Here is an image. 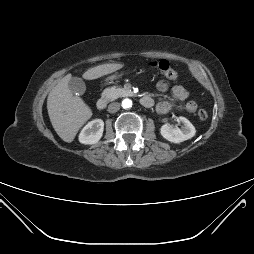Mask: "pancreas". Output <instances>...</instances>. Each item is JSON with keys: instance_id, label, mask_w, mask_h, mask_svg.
I'll return each mask as SVG.
<instances>
[{"instance_id": "obj_1", "label": "pancreas", "mask_w": 254, "mask_h": 254, "mask_svg": "<svg viewBox=\"0 0 254 254\" xmlns=\"http://www.w3.org/2000/svg\"><path fill=\"white\" fill-rule=\"evenodd\" d=\"M132 95L127 89L121 87H110L106 88L103 93L102 97L106 98L108 101H113L119 97Z\"/></svg>"}]
</instances>
